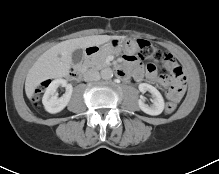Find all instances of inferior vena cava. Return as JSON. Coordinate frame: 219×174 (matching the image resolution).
I'll return each mask as SVG.
<instances>
[{
  "label": "inferior vena cava",
  "instance_id": "1",
  "mask_svg": "<svg viewBox=\"0 0 219 174\" xmlns=\"http://www.w3.org/2000/svg\"><path fill=\"white\" fill-rule=\"evenodd\" d=\"M100 79V74L96 70H88L84 73V81L90 82V81H98Z\"/></svg>",
  "mask_w": 219,
  "mask_h": 174
}]
</instances>
